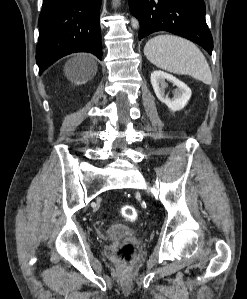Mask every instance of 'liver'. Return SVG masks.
I'll use <instances>...</instances> for the list:
<instances>
[{"instance_id":"6515ba94","label":"liver","mask_w":247,"mask_h":299,"mask_svg":"<svg viewBox=\"0 0 247 299\" xmlns=\"http://www.w3.org/2000/svg\"><path fill=\"white\" fill-rule=\"evenodd\" d=\"M66 71H75L74 80L90 78L97 71V63L95 58L88 54H79L70 60L66 65Z\"/></svg>"}]
</instances>
